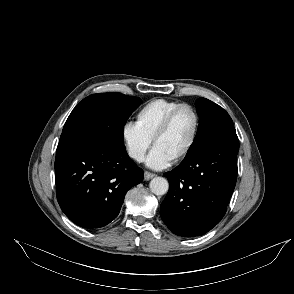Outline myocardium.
I'll list each match as a JSON object with an SVG mask.
<instances>
[{
    "label": "myocardium",
    "instance_id": "myocardium-1",
    "mask_svg": "<svg viewBox=\"0 0 294 294\" xmlns=\"http://www.w3.org/2000/svg\"><path fill=\"white\" fill-rule=\"evenodd\" d=\"M183 109H187L192 113L194 117V129H193L191 139L189 143L187 144L186 148L174 159L176 163L181 162L185 158H187V156L191 153V151L193 150L198 140L200 128H201V119L196 108L189 103H180L179 105H177L166 115V117L163 119L162 123L160 124V126L158 127V129L156 130L152 138L153 145H155L156 141L169 130L175 117Z\"/></svg>",
    "mask_w": 294,
    "mask_h": 294
}]
</instances>
